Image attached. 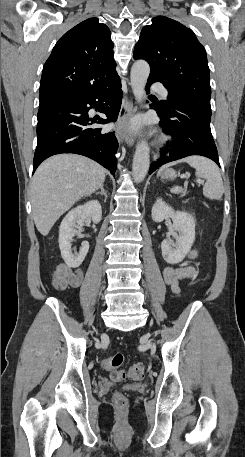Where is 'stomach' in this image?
Listing matches in <instances>:
<instances>
[{
    "label": "stomach",
    "instance_id": "0dacf381",
    "mask_svg": "<svg viewBox=\"0 0 245 457\" xmlns=\"http://www.w3.org/2000/svg\"><path fill=\"white\" fill-rule=\"evenodd\" d=\"M161 176L162 178H175L177 174L174 168H166V170H163V172H161Z\"/></svg>",
    "mask_w": 245,
    "mask_h": 457
}]
</instances>
